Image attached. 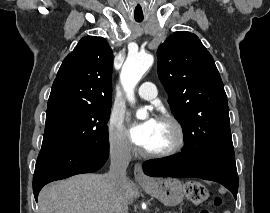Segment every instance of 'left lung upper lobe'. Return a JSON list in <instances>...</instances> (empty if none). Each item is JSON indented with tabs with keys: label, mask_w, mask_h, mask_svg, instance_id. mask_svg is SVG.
Returning a JSON list of instances; mask_svg holds the SVG:
<instances>
[{
	"label": "left lung upper lobe",
	"mask_w": 270,
	"mask_h": 213,
	"mask_svg": "<svg viewBox=\"0 0 270 213\" xmlns=\"http://www.w3.org/2000/svg\"><path fill=\"white\" fill-rule=\"evenodd\" d=\"M158 76L184 141L202 153L233 150L227 96L211 54L190 32L170 35L158 48Z\"/></svg>",
	"instance_id": "5c2ea615"
}]
</instances>
